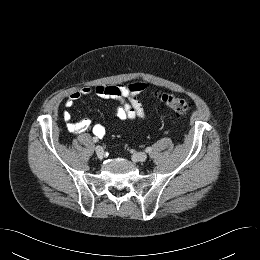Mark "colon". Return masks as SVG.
<instances>
[{"instance_id": "5ec220e1", "label": "colon", "mask_w": 260, "mask_h": 260, "mask_svg": "<svg viewBox=\"0 0 260 260\" xmlns=\"http://www.w3.org/2000/svg\"><path fill=\"white\" fill-rule=\"evenodd\" d=\"M159 100L165 104L170 110L178 113L184 114L191 110L192 104L182 98L175 97L169 94H160L158 96Z\"/></svg>"}]
</instances>
